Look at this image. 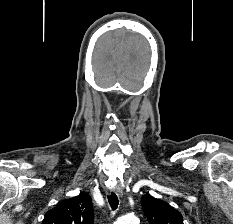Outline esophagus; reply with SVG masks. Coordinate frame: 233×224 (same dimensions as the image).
Masks as SVG:
<instances>
[{
  "instance_id": "1",
  "label": "esophagus",
  "mask_w": 233,
  "mask_h": 224,
  "mask_svg": "<svg viewBox=\"0 0 233 224\" xmlns=\"http://www.w3.org/2000/svg\"><path fill=\"white\" fill-rule=\"evenodd\" d=\"M114 192L116 193V195L122 197L123 195V191H122V188L118 185L114 188Z\"/></svg>"
}]
</instances>
